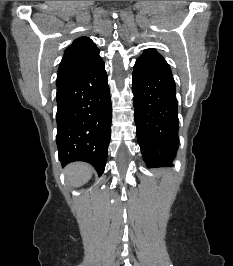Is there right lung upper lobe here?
Returning <instances> with one entry per match:
<instances>
[{"label":"right lung upper lobe","mask_w":233,"mask_h":266,"mask_svg":"<svg viewBox=\"0 0 233 266\" xmlns=\"http://www.w3.org/2000/svg\"><path fill=\"white\" fill-rule=\"evenodd\" d=\"M99 55V50L93 41L80 37L66 49L58 69L57 81L80 70Z\"/></svg>","instance_id":"obj_1"}]
</instances>
